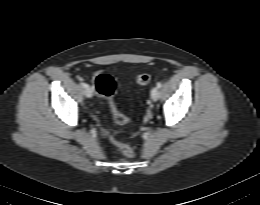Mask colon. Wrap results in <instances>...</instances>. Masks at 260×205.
<instances>
[{"mask_svg":"<svg viewBox=\"0 0 260 205\" xmlns=\"http://www.w3.org/2000/svg\"><path fill=\"white\" fill-rule=\"evenodd\" d=\"M150 81H151V75L147 72L140 73L136 77V82L139 85H146ZM94 86H95V89H96L98 95L101 96L105 100L115 122L118 124L129 123L131 121V119L129 117L125 116L124 114H122L121 112H119V110L117 109V106L113 100V95L117 88L115 79L107 73H99L95 77ZM111 138H112L113 142L115 143V145L122 151V153L125 156H127V157L134 156V151L128 144L117 140L113 136H111Z\"/></svg>","mask_w":260,"mask_h":205,"instance_id":"1","label":"colon"}]
</instances>
